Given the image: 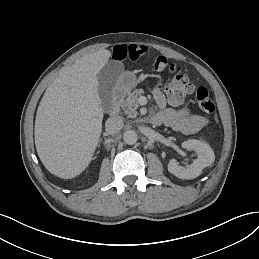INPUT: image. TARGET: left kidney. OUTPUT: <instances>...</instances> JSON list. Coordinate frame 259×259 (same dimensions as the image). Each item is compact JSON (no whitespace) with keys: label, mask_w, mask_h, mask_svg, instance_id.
<instances>
[{"label":"left kidney","mask_w":259,"mask_h":259,"mask_svg":"<svg viewBox=\"0 0 259 259\" xmlns=\"http://www.w3.org/2000/svg\"><path fill=\"white\" fill-rule=\"evenodd\" d=\"M182 148L195 150L198 158L193 163L184 168L179 166L175 159H171L168 164V171L181 179H193L198 177L202 170L211 165L215 160L214 151L209 144L196 139H190L182 143Z\"/></svg>","instance_id":"5707ae66"}]
</instances>
